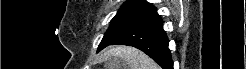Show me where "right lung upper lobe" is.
<instances>
[{
    "mask_svg": "<svg viewBox=\"0 0 246 69\" xmlns=\"http://www.w3.org/2000/svg\"><path fill=\"white\" fill-rule=\"evenodd\" d=\"M154 9L155 7L145 0H128L125 4L121 6L114 18L127 16H144Z\"/></svg>",
    "mask_w": 246,
    "mask_h": 69,
    "instance_id": "1",
    "label": "right lung upper lobe"
}]
</instances>
